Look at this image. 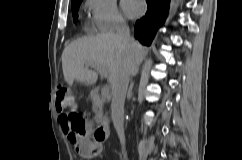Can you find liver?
Instances as JSON below:
<instances>
[{
    "label": "liver",
    "mask_w": 242,
    "mask_h": 160,
    "mask_svg": "<svg viewBox=\"0 0 242 160\" xmlns=\"http://www.w3.org/2000/svg\"><path fill=\"white\" fill-rule=\"evenodd\" d=\"M134 44L133 49L129 48L114 33L84 37L73 41L65 47L62 53L65 81L69 85H72L75 80L92 85L96 83L98 74L94 70H89L86 65H98L107 69L109 82L113 89L117 76L119 73H123L122 69L126 68V63H136L138 66L148 53V49L140 43L134 42Z\"/></svg>",
    "instance_id": "liver-1"
}]
</instances>
